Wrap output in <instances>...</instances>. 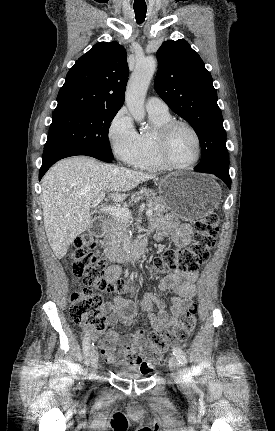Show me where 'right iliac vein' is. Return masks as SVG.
<instances>
[{"label":"right iliac vein","mask_w":275,"mask_h":431,"mask_svg":"<svg viewBox=\"0 0 275 431\" xmlns=\"http://www.w3.org/2000/svg\"><path fill=\"white\" fill-rule=\"evenodd\" d=\"M89 362L92 368V372H95L98 363V350L97 347L93 346L89 353Z\"/></svg>","instance_id":"1"}]
</instances>
